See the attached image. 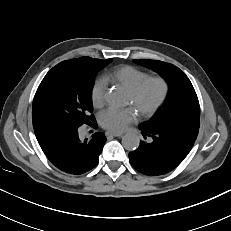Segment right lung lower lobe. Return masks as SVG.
<instances>
[{
    "instance_id": "obj_1",
    "label": "right lung lower lobe",
    "mask_w": 231,
    "mask_h": 231,
    "mask_svg": "<svg viewBox=\"0 0 231 231\" xmlns=\"http://www.w3.org/2000/svg\"><path fill=\"white\" fill-rule=\"evenodd\" d=\"M96 125V122H93ZM36 138L50 162L66 173L79 175L98 163L106 138L103 133L93 134L91 140L81 141L78 128L46 124L34 128Z\"/></svg>"
}]
</instances>
